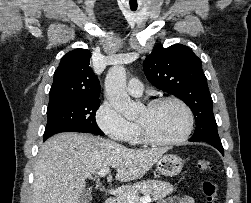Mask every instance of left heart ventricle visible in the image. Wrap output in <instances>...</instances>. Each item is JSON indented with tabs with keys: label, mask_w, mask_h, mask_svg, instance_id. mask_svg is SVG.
Instances as JSON below:
<instances>
[{
	"label": "left heart ventricle",
	"mask_w": 251,
	"mask_h": 203,
	"mask_svg": "<svg viewBox=\"0 0 251 203\" xmlns=\"http://www.w3.org/2000/svg\"><path fill=\"white\" fill-rule=\"evenodd\" d=\"M137 122L144 124L153 137L171 140L184 132L187 117L178 104L169 102L151 110L145 107Z\"/></svg>",
	"instance_id": "b2bd125f"
}]
</instances>
